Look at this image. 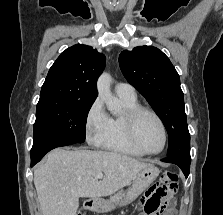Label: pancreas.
Returning <instances> with one entry per match:
<instances>
[{"label": "pancreas", "instance_id": "cf45deb5", "mask_svg": "<svg viewBox=\"0 0 223 215\" xmlns=\"http://www.w3.org/2000/svg\"><path fill=\"white\" fill-rule=\"evenodd\" d=\"M118 193H119V191H116V193H114V195H110V198H111V199H114V200H115V199H119V194H118ZM120 195H123V194H120ZM117 196H118V197H117ZM114 202H115V201H114Z\"/></svg>", "mask_w": 223, "mask_h": 215}]
</instances>
